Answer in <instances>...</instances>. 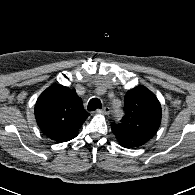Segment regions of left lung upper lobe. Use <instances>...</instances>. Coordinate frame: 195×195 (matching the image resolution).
<instances>
[{
	"mask_svg": "<svg viewBox=\"0 0 195 195\" xmlns=\"http://www.w3.org/2000/svg\"><path fill=\"white\" fill-rule=\"evenodd\" d=\"M161 122L157 98L143 86L129 90L125 96V113L118 124H111L116 138L128 147H138L150 140Z\"/></svg>",
	"mask_w": 195,
	"mask_h": 195,
	"instance_id": "1",
	"label": "left lung upper lobe"
}]
</instances>
